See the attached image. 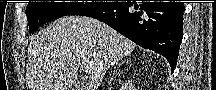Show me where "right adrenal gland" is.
Wrapping results in <instances>:
<instances>
[{"label": "right adrenal gland", "mask_w": 216, "mask_h": 90, "mask_svg": "<svg viewBox=\"0 0 216 90\" xmlns=\"http://www.w3.org/2000/svg\"><path fill=\"white\" fill-rule=\"evenodd\" d=\"M116 66H117V68H120L121 64H116ZM112 80H113V76L111 78V82H112Z\"/></svg>", "instance_id": "right-adrenal-gland-1"}]
</instances>
